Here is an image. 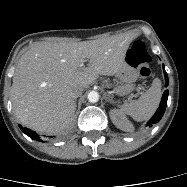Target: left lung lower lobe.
Returning a JSON list of instances; mask_svg holds the SVG:
<instances>
[{"label": "left lung lower lobe", "mask_w": 187, "mask_h": 187, "mask_svg": "<svg viewBox=\"0 0 187 187\" xmlns=\"http://www.w3.org/2000/svg\"><path fill=\"white\" fill-rule=\"evenodd\" d=\"M163 71H164V76H165V83H166V86H168V76H167V73L165 71L164 65H163ZM167 99H168V90L164 91V93L162 95V99H161L160 105H159L156 113L148 121L146 126L152 127L154 124L158 123L161 120V118H162V116H163V114L165 112V109H166Z\"/></svg>", "instance_id": "obj_1"}]
</instances>
